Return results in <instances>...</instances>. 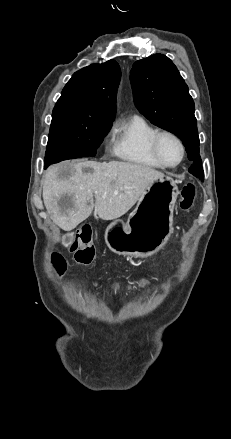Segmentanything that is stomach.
<instances>
[{
    "mask_svg": "<svg viewBox=\"0 0 231 439\" xmlns=\"http://www.w3.org/2000/svg\"><path fill=\"white\" fill-rule=\"evenodd\" d=\"M179 194L176 181L163 176L151 183L138 199L126 223L113 221L105 241L118 255L146 258L159 251L173 230V211Z\"/></svg>",
    "mask_w": 231,
    "mask_h": 439,
    "instance_id": "0dacf381",
    "label": "stomach"
}]
</instances>
